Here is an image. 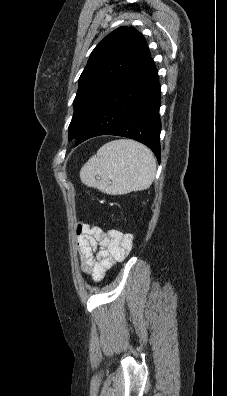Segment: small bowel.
Wrapping results in <instances>:
<instances>
[{
    "label": "small bowel",
    "instance_id": "small-bowel-1",
    "mask_svg": "<svg viewBox=\"0 0 227 396\" xmlns=\"http://www.w3.org/2000/svg\"><path fill=\"white\" fill-rule=\"evenodd\" d=\"M76 234L81 269L94 281H101L133 247V235L117 229L104 230L97 224L79 223Z\"/></svg>",
    "mask_w": 227,
    "mask_h": 396
}]
</instances>
